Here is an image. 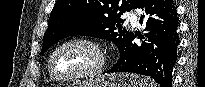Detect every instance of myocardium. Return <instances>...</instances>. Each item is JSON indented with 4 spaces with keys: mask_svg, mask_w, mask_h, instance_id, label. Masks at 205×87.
Instances as JSON below:
<instances>
[{
    "mask_svg": "<svg viewBox=\"0 0 205 87\" xmlns=\"http://www.w3.org/2000/svg\"><path fill=\"white\" fill-rule=\"evenodd\" d=\"M73 44H82L90 47L97 56L96 64L90 70L77 75L66 76V77L59 76L54 71V66H53L54 59L61 49ZM105 61L106 58H105L104 51L100 46V44H98V42L86 37H75L62 42L52 51L48 61V70L51 78L57 82H62V83L79 82V81L89 80L98 76L104 69Z\"/></svg>",
    "mask_w": 205,
    "mask_h": 87,
    "instance_id": "myocardium-1",
    "label": "myocardium"
}]
</instances>
